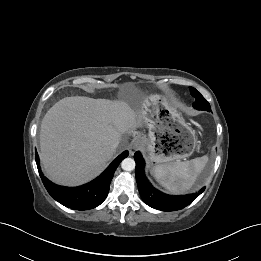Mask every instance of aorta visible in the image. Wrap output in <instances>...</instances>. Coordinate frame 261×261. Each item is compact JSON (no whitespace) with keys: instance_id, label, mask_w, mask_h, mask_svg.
Here are the masks:
<instances>
[{"instance_id":"obj_1","label":"aorta","mask_w":261,"mask_h":261,"mask_svg":"<svg viewBox=\"0 0 261 261\" xmlns=\"http://www.w3.org/2000/svg\"><path fill=\"white\" fill-rule=\"evenodd\" d=\"M121 167L125 171H132L135 169V161L132 158H125L121 162Z\"/></svg>"}]
</instances>
